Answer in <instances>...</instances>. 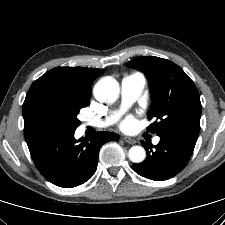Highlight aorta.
Returning <instances> with one entry per match:
<instances>
[{
    "instance_id": "762f6f07",
    "label": "aorta",
    "mask_w": 225,
    "mask_h": 225,
    "mask_svg": "<svg viewBox=\"0 0 225 225\" xmlns=\"http://www.w3.org/2000/svg\"><path fill=\"white\" fill-rule=\"evenodd\" d=\"M120 92L119 83L112 77H104L94 87V95L100 102H114ZM129 158L134 163H141L146 157L145 149L141 146H133L129 150Z\"/></svg>"
}]
</instances>
